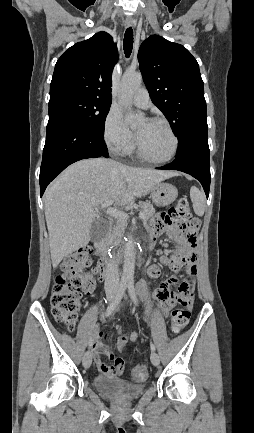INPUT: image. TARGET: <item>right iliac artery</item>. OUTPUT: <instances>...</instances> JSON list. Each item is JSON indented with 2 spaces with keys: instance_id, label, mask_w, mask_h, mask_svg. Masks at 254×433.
Returning a JSON list of instances; mask_svg holds the SVG:
<instances>
[{
  "instance_id": "1",
  "label": "right iliac artery",
  "mask_w": 254,
  "mask_h": 433,
  "mask_svg": "<svg viewBox=\"0 0 254 433\" xmlns=\"http://www.w3.org/2000/svg\"><path fill=\"white\" fill-rule=\"evenodd\" d=\"M126 288H127V283L121 282L115 298L112 300V302L107 307L103 321L105 320V317L110 316L114 312V310L116 309V307L120 303V301H121V299H122V297L126 291ZM91 345H92V340L89 343V346H91Z\"/></svg>"
}]
</instances>
